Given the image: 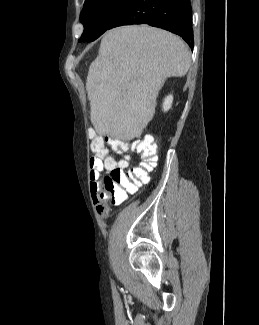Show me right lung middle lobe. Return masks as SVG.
I'll return each instance as SVG.
<instances>
[{"mask_svg":"<svg viewBox=\"0 0 259 325\" xmlns=\"http://www.w3.org/2000/svg\"><path fill=\"white\" fill-rule=\"evenodd\" d=\"M128 0H85L80 21L84 31L79 42H91L103 34Z\"/></svg>","mask_w":259,"mask_h":325,"instance_id":"obj_1","label":"right lung middle lobe"}]
</instances>
